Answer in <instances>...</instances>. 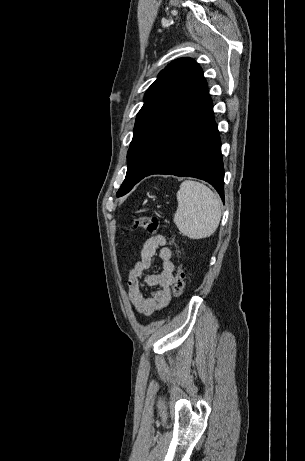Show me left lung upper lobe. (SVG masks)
Segmentation results:
<instances>
[{"mask_svg": "<svg viewBox=\"0 0 305 461\" xmlns=\"http://www.w3.org/2000/svg\"><path fill=\"white\" fill-rule=\"evenodd\" d=\"M203 78L198 63L191 58H179L167 65L148 88L144 105L137 114L133 139L127 153V173L117 197L128 193L147 172L156 133Z\"/></svg>", "mask_w": 305, "mask_h": 461, "instance_id": "5c2ea615", "label": "left lung upper lobe"}]
</instances>
